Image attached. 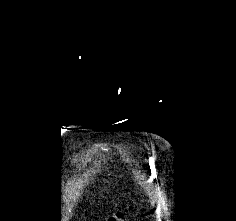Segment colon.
Instances as JSON below:
<instances>
[{
	"instance_id": "5ec220e1",
	"label": "colon",
	"mask_w": 236,
	"mask_h": 221,
	"mask_svg": "<svg viewBox=\"0 0 236 221\" xmlns=\"http://www.w3.org/2000/svg\"><path fill=\"white\" fill-rule=\"evenodd\" d=\"M125 220H126L125 211H118L107 219V221H125Z\"/></svg>"
}]
</instances>
